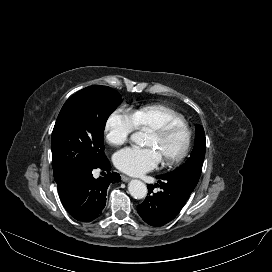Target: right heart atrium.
<instances>
[{
	"instance_id": "d8ad5b80",
	"label": "right heart atrium",
	"mask_w": 272,
	"mask_h": 272,
	"mask_svg": "<svg viewBox=\"0 0 272 272\" xmlns=\"http://www.w3.org/2000/svg\"><path fill=\"white\" fill-rule=\"evenodd\" d=\"M136 129L132 114L123 109L113 110L104 125V138L112 146L124 144Z\"/></svg>"
}]
</instances>
